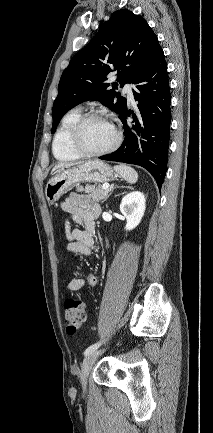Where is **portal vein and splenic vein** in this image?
Instances as JSON below:
<instances>
[{
  "label": "portal vein and splenic vein",
  "instance_id": "portal-vein-and-splenic-vein-1",
  "mask_svg": "<svg viewBox=\"0 0 213 433\" xmlns=\"http://www.w3.org/2000/svg\"><path fill=\"white\" fill-rule=\"evenodd\" d=\"M102 188H103L104 190H108V189H109V184H104V185L102 186Z\"/></svg>",
  "mask_w": 213,
  "mask_h": 433
}]
</instances>
